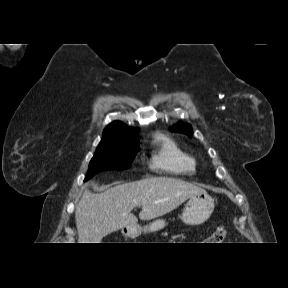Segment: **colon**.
Returning a JSON list of instances; mask_svg holds the SVG:
<instances>
[{
    "mask_svg": "<svg viewBox=\"0 0 288 288\" xmlns=\"http://www.w3.org/2000/svg\"><path fill=\"white\" fill-rule=\"evenodd\" d=\"M227 229L224 225H219L214 233L208 238V242L210 243H222L223 240L226 238Z\"/></svg>",
    "mask_w": 288,
    "mask_h": 288,
    "instance_id": "5ec220e1",
    "label": "colon"
}]
</instances>
